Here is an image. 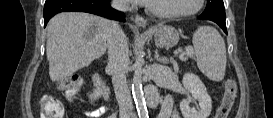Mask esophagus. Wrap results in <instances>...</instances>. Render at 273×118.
I'll list each match as a JSON object with an SVG mask.
<instances>
[{
  "mask_svg": "<svg viewBox=\"0 0 273 118\" xmlns=\"http://www.w3.org/2000/svg\"><path fill=\"white\" fill-rule=\"evenodd\" d=\"M135 23L140 27H146L147 26V20L144 19L141 16H136L135 17Z\"/></svg>",
  "mask_w": 273,
  "mask_h": 118,
  "instance_id": "esophagus-1",
  "label": "esophagus"
}]
</instances>
